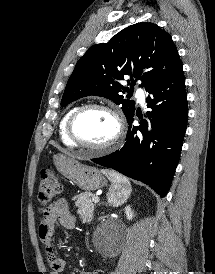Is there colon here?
Returning <instances> with one entry per match:
<instances>
[{"label":"colon","instance_id":"obj_1","mask_svg":"<svg viewBox=\"0 0 215 274\" xmlns=\"http://www.w3.org/2000/svg\"><path fill=\"white\" fill-rule=\"evenodd\" d=\"M60 190L61 184L59 183L52 167L47 166L43 168L40 173L38 187V200L40 204L46 206L60 192Z\"/></svg>","mask_w":215,"mask_h":274}]
</instances>
